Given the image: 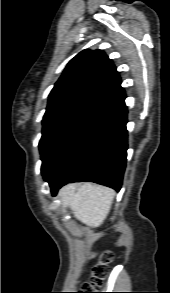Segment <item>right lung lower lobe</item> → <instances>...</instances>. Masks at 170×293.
Wrapping results in <instances>:
<instances>
[{
    "instance_id": "1",
    "label": "right lung lower lobe",
    "mask_w": 170,
    "mask_h": 293,
    "mask_svg": "<svg viewBox=\"0 0 170 293\" xmlns=\"http://www.w3.org/2000/svg\"><path fill=\"white\" fill-rule=\"evenodd\" d=\"M127 107L123 102L110 109L88 137L46 181L51 192L69 182L91 181L119 191L127 157Z\"/></svg>"
}]
</instances>
